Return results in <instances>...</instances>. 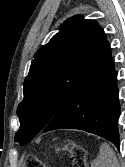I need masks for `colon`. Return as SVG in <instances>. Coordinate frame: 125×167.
<instances>
[{
  "instance_id": "5ec220e1",
  "label": "colon",
  "mask_w": 125,
  "mask_h": 167,
  "mask_svg": "<svg viewBox=\"0 0 125 167\" xmlns=\"http://www.w3.org/2000/svg\"><path fill=\"white\" fill-rule=\"evenodd\" d=\"M59 149V148H57ZM70 153L71 164L69 167H87L86 151L83 147L71 144L65 148ZM24 167H47L45 163L36 155H28L25 159Z\"/></svg>"
}]
</instances>
